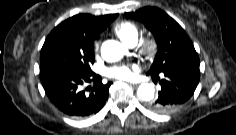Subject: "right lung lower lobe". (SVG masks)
<instances>
[{"label": "right lung lower lobe", "instance_id": "obj_1", "mask_svg": "<svg viewBox=\"0 0 236 135\" xmlns=\"http://www.w3.org/2000/svg\"><path fill=\"white\" fill-rule=\"evenodd\" d=\"M40 76L54 106L65 115L75 118L96 114L104 106L112 83L102 84L101 77L93 71L44 70ZM91 82L93 86L84 89Z\"/></svg>", "mask_w": 236, "mask_h": 135}]
</instances>
